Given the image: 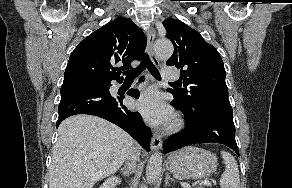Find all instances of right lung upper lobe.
Listing matches in <instances>:
<instances>
[{
	"instance_id": "1",
	"label": "right lung upper lobe",
	"mask_w": 292,
	"mask_h": 188,
	"mask_svg": "<svg viewBox=\"0 0 292 188\" xmlns=\"http://www.w3.org/2000/svg\"><path fill=\"white\" fill-rule=\"evenodd\" d=\"M146 43L144 33L132 20L118 17L78 44L69 58L64 81L122 80L121 70L131 69L132 61L142 59Z\"/></svg>"
}]
</instances>
